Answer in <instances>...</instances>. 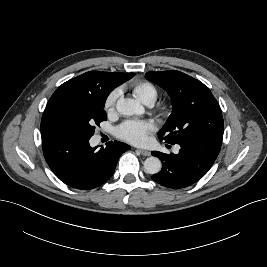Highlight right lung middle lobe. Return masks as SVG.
<instances>
[{
	"mask_svg": "<svg viewBox=\"0 0 267 267\" xmlns=\"http://www.w3.org/2000/svg\"><path fill=\"white\" fill-rule=\"evenodd\" d=\"M106 98L101 93L52 95L44 111L41 128L91 138L95 126L107 119L103 110Z\"/></svg>",
	"mask_w": 267,
	"mask_h": 267,
	"instance_id": "right-lung-middle-lobe-1",
	"label": "right lung middle lobe"
}]
</instances>
